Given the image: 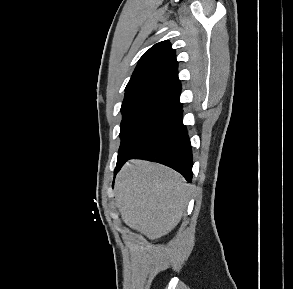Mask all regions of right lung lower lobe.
<instances>
[{"label":"right lung lower lobe","instance_id":"obj_1","mask_svg":"<svg viewBox=\"0 0 293 289\" xmlns=\"http://www.w3.org/2000/svg\"><path fill=\"white\" fill-rule=\"evenodd\" d=\"M182 107L149 129L127 149L118 153L115 174L132 158H144L173 168L192 180V149L182 122Z\"/></svg>","mask_w":293,"mask_h":289}]
</instances>
